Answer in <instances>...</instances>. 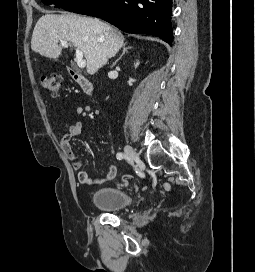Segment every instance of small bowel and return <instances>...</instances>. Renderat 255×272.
<instances>
[{"mask_svg": "<svg viewBox=\"0 0 255 272\" xmlns=\"http://www.w3.org/2000/svg\"><path fill=\"white\" fill-rule=\"evenodd\" d=\"M84 129L82 122L78 121L72 123L68 126L67 131L60 140V148L65 156L70 160L75 169H80L82 162L80 158L76 155L71 147L72 138L79 136ZM117 175V167L115 165H109L107 173L100 177H91L87 171H80L78 174V180L81 184L90 186L103 185L111 180H113Z\"/></svg>", "mask_w": 255, "mask_h": 272, "instance_id": "1", "label": "small bowel"}]
</instances>
